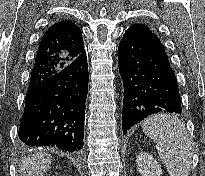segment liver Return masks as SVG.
<instances>
[{"label": "liver", "instance_id": "6515ba94", "mask_svg": "<svg viewBox=\"0 0 205 176\" xmlns=\"http://www.w3.org/2000/svg\"><path fill=\"white\" fill-rule=\"evenodd\" d=\"M51 164V155L38 152L25 158L19 168L20 176H43Z\"/></svg>", "mask_w": 205, "mask_h": 176}]
</instances>
